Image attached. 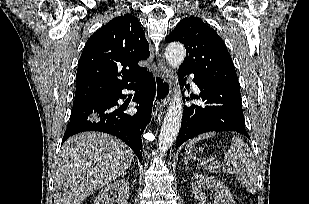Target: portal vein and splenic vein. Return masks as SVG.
<instances>
[{
	"label": "portal vein and splenic vein",
	"mask_w": 309,
	"mask_h": 204,
	"mask_svg": "<svg viewBox=\"0 0 309 204\" xmlns=\"http://www.w3.org/2000/svg\"><path fill=\"white\" fill-rule=\"evenodd\" d=\"M209 161H212V159H211V160H207V162L202 163V165L208 163ZM214 167H215V168H220L221 165H219V163L216 161V162H214Z\"/></svg>",
	"instance_id": "obj_1"
}]
</instances>
